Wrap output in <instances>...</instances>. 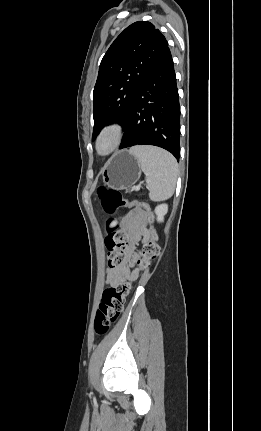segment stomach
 Returning a JSON list of instances; mask_svg holds the SVG:
<instances>
[{
	"mask_svg": "<svg viewBox=\"0 0 261 431\" xmlns=\"http://www.w3.org/2000/svg\"><path fill=\"white\" fill-rule=\"evenodd\" d=\"M141 167L137 159L128 151L114 154L102 170L104 183L114 189H126L137 182Z\"/></svg>",
	"mask_w": 261,
	"mask_h": 431,
	"instance_id": "obj_1",
	"label": "stomach"
}]
</instances>
